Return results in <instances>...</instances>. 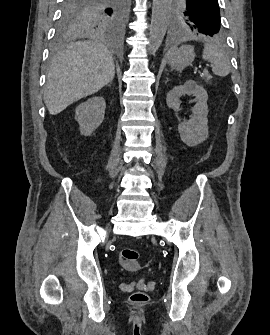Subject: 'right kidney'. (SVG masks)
<instances>
[{"label": "right kidney", "mask_w": 270, "mask_h": 335, "mask_svg": "<svg viewBox=\"0 0 270 335\" xmlns=\"http://www.w3.org/2000/svg\"><path fill=\"white\" fill-rule=\"evenodd\" d=\"M105 108V100L100 96L89 98L87 102H82L77 106L75 120L78 122L79 130L83 136H91L92 132L101 126Z\"/></svg>", "instance_id": "1"}]
</instances>
